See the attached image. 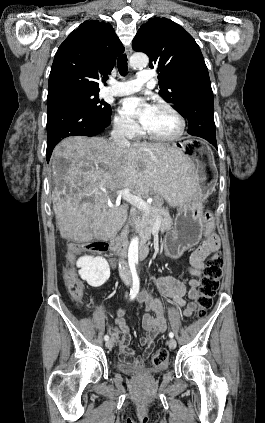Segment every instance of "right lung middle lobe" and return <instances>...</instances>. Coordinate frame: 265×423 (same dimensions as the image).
Wrapping results in <instances>:
<instances>
[{"label":"right lung middle lobe","instance_id":"right-lung-middle-lobe-1","mask_svg":"<svg viewBox=\"0 0 265 423\" xmlns=\"http://www.w3.org/2000/svg\"><path fill=\"white\" fill-rule=\"evenodd\" d=\"M98 92L99 91L87 90L66 91L54 96L47 97V105L61 100L73 101L80 103L95 114L109 119L111 116L110 105L99 99Z\"/></svg>","mask_w":265,"mask_h":423}]
</instances>
